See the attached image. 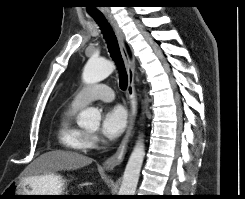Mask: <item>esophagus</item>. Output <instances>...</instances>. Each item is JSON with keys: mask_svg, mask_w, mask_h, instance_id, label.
I'll list each match as a JSON object with an SVG mask.
<instances>
[{"mask_svg": "<svg viewBox=\"0 0 245 199\" xmlns=\"http://www.w3.org/2000/svg\"><path fill=\"white\" fill-rule=\"evenodd\" d=\"M108 19L110 23L112 24L115 33L117 35L119 46L121 50V54L123 56L127 75H128V86H127V97L130 104V111H129V118H128V125L125 132V135L117 149V151L109 157L105 162L103 163V168L107 171L113 170L116 166L120 165L124 159L127 145L129 142L130 137L132 136L135 119L137 115V100H136V94H135V84H134V76H135V62L132 57H130L126 43H125V37L123 34L122 29L119 27L117 21L115 18L108 14Z\"/></svg>", "mask_w": 245, "mask_h": 199, "instance_id": "1", "label": "esophagus"}]
</instances>
